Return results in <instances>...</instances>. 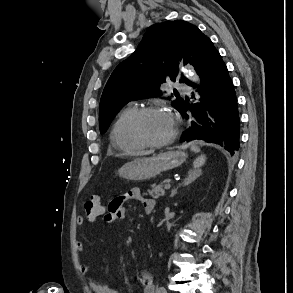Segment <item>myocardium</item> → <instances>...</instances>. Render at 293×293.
Wrapping results in <instances>:
<instances>
[{
  "mask_svg": "<svg viewBox=\"0 0 293 293\" xmlns=\"http://www.w3.org/2000/svg\"><path fill=\"white\" fill-rule=\"evenodd\" d=\"M161 111L167 113L171 117L172 123H173V130L168 138L158 142H151L143 136L141 132V123L144 117L147 116L148 114L161 112ZM177 132H178V120L169 110H167L166 108L162 106H146V107L137 109V111L133 115L130 122V134L132 138L136 140L137 142H139L140 144H142L144 148L145 147H148V148L164 147L175 139Z\"/></svg>",
  "mask_w": 293,
  "mask_h": 293,
  "instance_id": "myocardium-1",
  "label": "myocardium"
}]
</instances>
